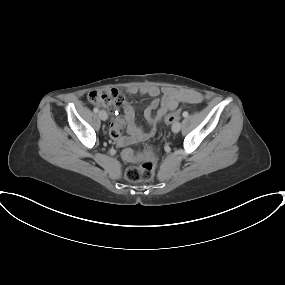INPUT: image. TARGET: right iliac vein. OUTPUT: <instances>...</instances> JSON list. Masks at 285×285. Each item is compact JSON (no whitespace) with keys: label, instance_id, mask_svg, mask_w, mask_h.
<instances>
[{"label":"right iliac vein","instance_id":"1","mask_svg":"<svg viewBox=\"0 0 285 285\" xmlns=\"http://www.w3.org/2000/svg\"><path fill=\"white\" fill-rule=\"evenodd\" d=\"M98 116L103 121H106L108 118V115L104 110L99 111Z\"/></svg>","mask_w":285,"mask_h":285}]
</instances>
